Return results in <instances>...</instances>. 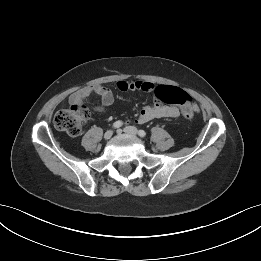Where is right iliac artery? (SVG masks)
<instances>
[{
    "mask_svg": "<svg viewBox=\"0 0 261 261\" xmlns=\"http://www.w3.org/2000/svg\"><path fill=\"white\" fill-rule=\"evenodd\" d=\"M122 125H123L122 121H116V122L113 123V127H114V128H119V127H121Z\"/></svg>",
    "mask_w": 261,
    "mask_h": 261,
    "instance_id": "82829eb1",
    "label": "right iliac artery"
}]
</instances>
